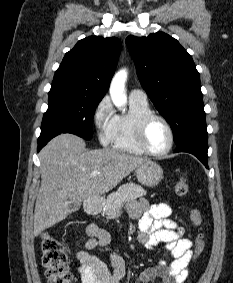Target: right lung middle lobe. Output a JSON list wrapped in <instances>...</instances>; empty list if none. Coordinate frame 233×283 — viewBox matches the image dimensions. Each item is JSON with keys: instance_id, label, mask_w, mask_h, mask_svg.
Here are the masks:
<instances>
[{"instance_id": "dd1d6c3e", "label": "right lung middle lobe", "mask_w": 233, "mask_h": 283, "mask_svg": "<svg viewBox=\"0 0 233 283\" xmlns=\"http://www.w3.org/2000/svg\"><path fill=\"white\" fill-rule=\"evenodd\" d=\"M48 95L40 137L72 133L90 140L94 112L101 99L64 88H51Z\"/></svg>"}]
</instances>
